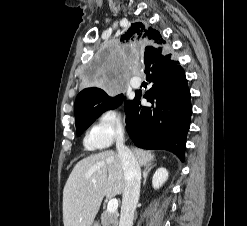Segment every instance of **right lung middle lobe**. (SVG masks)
Instances as JSON below:
<instances>
[{
    "label": "right lung middle lobe",
    "mask_w": 247,
    "mask_h": 226,
    "mask_svg": "<svg viewBox=\"0 0 247 226\" xmlns=\"http://www.w3.org/2000/svg\"><path fill=\"white\" fill-rule=\"evenodd\" d=\"M122 96L123 94L110 97L102 90L100 94L85 102L81 108L82 113L76 117L77 135L80 136L102 112L116 108L122 101Z\"/></svg>",
    "instance_id": "dd1d6c3e"
}]
</instances>
